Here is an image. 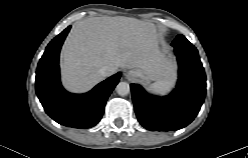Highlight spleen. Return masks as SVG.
<instances>
[{
  "instance_id": "1",
  "label": "spleen",
  "mask_w": 248,
  "mask_h": 158,
  "mask_svg": "<svg viewBox=\"0 0 248 158\" xmlns=\"http://www.w3.org/2000/svg\"><path fill=\"white\" fill-rule=\"evenodd\" d=\"M175 82V75L169 74L168 76L157 80L149 86V91L156 94H165L169 91Z\"/></svg>"
}]
</instances>
